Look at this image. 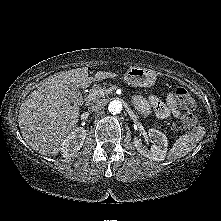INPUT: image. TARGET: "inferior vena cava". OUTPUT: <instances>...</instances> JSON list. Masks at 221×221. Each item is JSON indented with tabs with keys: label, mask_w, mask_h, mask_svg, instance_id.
<instances>
[{
	"label": "inferior vena cava",
	"mask_w": 221,
	"mask_h": 221,
	"mask_svg": "<svg viewBox=\"0 0 221 221\" xmlns=\"http://www.w3.org/2000/svg\"><path fill=\"white\" fill-rule=\"evenodd\" d=\"M105 107V102L103 100H97L89 106V111L97 112Z\"/></svg>",
	"instance_id": "602c4592"
}]
</instances>
